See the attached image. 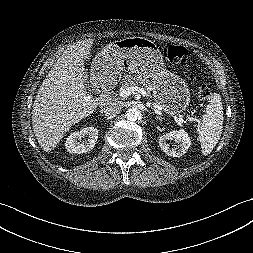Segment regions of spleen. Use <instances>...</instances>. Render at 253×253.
<instances>
[{"mask_svg": "<svg viewBox=\"0 0 253 253\" xmlns=\"http://www.w3.org/2000/svg\"><path fill=\"white\" fill-rule=\"evenodd\" d=\"M222 125L223 106L221 97L214 93L209 96L206 112L203 115L202 125L198 133L203 155L210 154L218 143L222 133Z\"/></svg>", "mask_w": 253, "mask_h": 253, "instance_id": "1", "label": "spleen"}]
</instances>
